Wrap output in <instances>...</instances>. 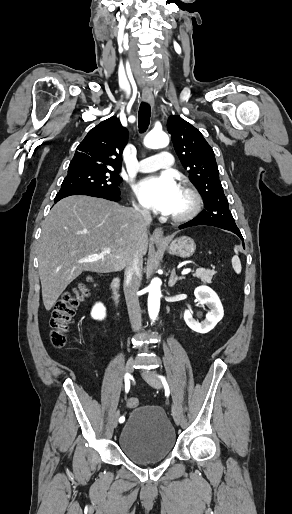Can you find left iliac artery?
I'll use <instances>...</instances> for the list:
<instances>
[{
	"label": "left iliac artery",
	"instance_id": "44dca946",
	"mask_svg": "<svg viewBox=\"0 0 292 514\" xmlns=\"http://www.w3.org/2000/svg\"><path fill=\"white\" fill-rule=\"evenodd\" d=\"M158 377L161 379L162 383H166L165 377H163V376H158Z\"/></svg>",
	"mask_w": 292,
	"mask_h": 514
}]
</instances>
